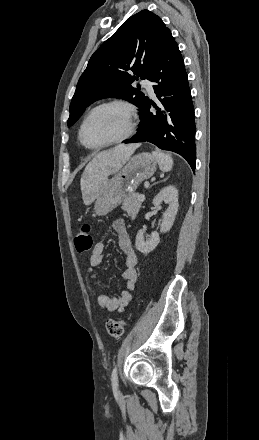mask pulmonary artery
I'll list each match as a JSON object with an SVG mask.
<instances>
[{
  "mask_svg": "<svg viewBox=\"0 0 259 440\" xmlns=\"http://www.w3.org/2000/svg\"><path fill=\"white\" fill-rule=\"evenodd\" d=\"M142 86L148 91L150 95H154L153 83L150 80L144 79L142 81Z\"/></svg>",
  "mask_w": 259,
  "mask_h": 440,
  "instance_id": "obj_1",
  "label": "pulmonary artery"
}]
</instances>
